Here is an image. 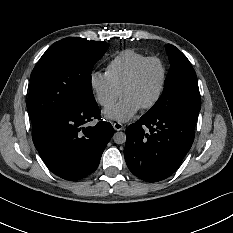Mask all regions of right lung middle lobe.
Segmentation results:
<instances>
[{
    "instance_id": "right-lung-middle-lobe-1",
    "label": "right lung middle lobe",
    "mask_w": 233,
    "mask_h": 233,
    "mask_svg": "<svg viewBox=\"0 0 233 233\" xmlns=\"http://www.w3.org/2000/svg\"><path fill=\"white\" fill-rule=\"evenodd\" d=\"M106 42L68 37L52 44L31 73L27 109L31 122L61 115L78 101L94 99L91 72Z\"/></svg>"
}]
</instances>
